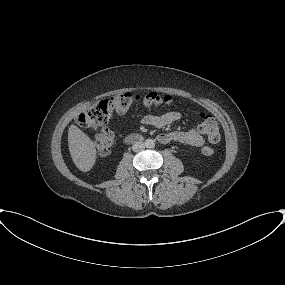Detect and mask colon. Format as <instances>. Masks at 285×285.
Returning <instances> with one entry per match:
<instances>
[{"label": "colon", "mask_w": 285, "mask_h": 285, "mask_svg": "<svg viewBox=\"0 0 285 285\" xmlns=\"http://www.w3.org/2000/svg\"><path fill=\"white\" fill-rule=\"evenodd\" d=\"M173 102L174 100L170 96H161L154 92L142 95L123 92L114 95L110 99L103 100L80 113L77 121L84 128L99 131L96 149L99 155L106 156L109 154L114 143V134L104 126L114 113L125 114L133 106L158 108L170 105ZM200 117L199 129L207 135L211 143H218L220 141V126L218 121L211 115L201 114ZM202 153L206 156H211L214 153V149L210 146H205L202 149Z\"/></svg>", "instance_id": "obj_1"}]
</instances>
